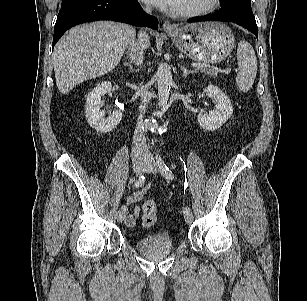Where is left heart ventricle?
Segmentation results:
<instances>
[{
    "label": "left heart ventricle",
    "instance_id": "1",
    "mask_svg": "<svg viewBox=\"0 0 307 301\" xmlns=\"http://www.w3.org/2000/svg\"><path fill=\"white\" fill-rule=\"evenodd\" d=\"M207 0H179L175 10L193 9L202 6Z\"/></svg>",
    "mask_w": 307,
    "mask_h": 301
}]
</instances>
